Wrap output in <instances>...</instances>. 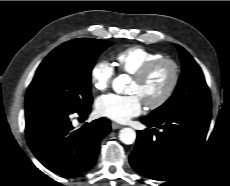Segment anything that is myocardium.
Wrapping results in <instances>:
<instances>
[{
    "mask_svg": "<svg viewBox=\"0 0 230 186\" xmlns=\"http://www.w3.org/2000/svg\"><path fill=\"white\" fill-rule=\"evenodd\" d=\"M167 65L171 69V79L163 94L156 100L144 102L145 106L150 110H155L163 106L169 101L174 94L180 80V67L178 63L168 57H162L145 65L135 75L133 80L139 84L144 83L159 67Z\"/></svg>",
    "mask_w": 230,
    "mask_h": 186,
    "instance_id": "f54148a6",
    "label": "myocardium"
}]
</instances>
